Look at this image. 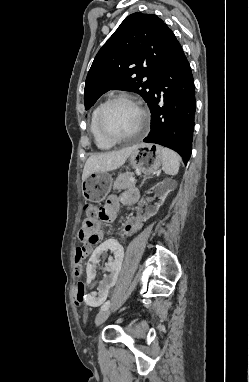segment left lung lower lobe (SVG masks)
Here are the masks:
<instances>
[{
    "instance_id": "obj_1",
    "label": "left lung lower lobe",
    "mask_w": 249,
    "mask_h": 382,
    "mask_svg": "<svg viewBox=\"0 0 249 382\" xmlns=\"http://www.w3.org/2000/svg\"><path fill=\"white\" fill-rule=\"evenodd\" d=\"M195 104L192 71L177 42L148 102L151 131L143 141L175 150L186 164L192 150Z\"/></svg>"
}]
</instances>
